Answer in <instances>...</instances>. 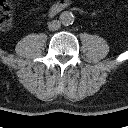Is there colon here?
I'll return each instance as SVG.
<instances>
[{"label": "colon", "instance_id": "obj_1", "mask_svg": "<svg viewBox=\"0 0 128 128\" xmlns=\"http://www.w3.org/2000/svg\"><path fill=\"white\" fill-rule=\"evenodd\" d=\"M12 26V10L5 0H0V31H8Z\"/></svg>", "mask_w": 128, "mask_h": 128}]
</instances>
